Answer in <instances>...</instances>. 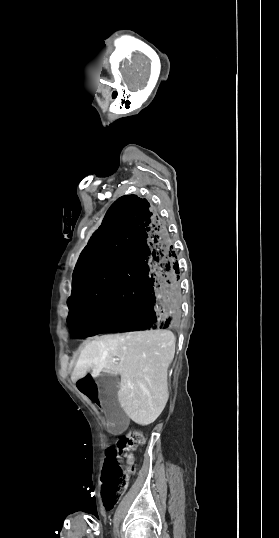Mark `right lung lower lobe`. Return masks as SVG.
I'll use <instances>...</instances> for the list:
<instances>
[{
  "label": "right lung lower lobe",
  "instance_id": "right-lung-lower-lobe-1",
  "mask_svg": "<svg viewBox=\"0 0 279 538\" xmlns=\"http://www.w3.org/2000/svg\"><path fill=\"white\" fill-rule=\"evenodd\" d=\"M158 211L137 195L115 201L82 251L67 300L80 337L161 329L180 321V276Z\"/></svg>",
  "mask_w": 279,
  "mask_h": 538
}]
</instances>
